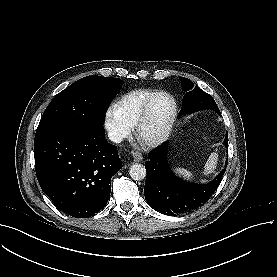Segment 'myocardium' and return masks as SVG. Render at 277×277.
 <instances>
[{"label":"myocardium","instance_id":"1","mask_svg":"<svg viewBox=\"0 0 277 277\" xmlns=\"http://www.w3.org/2000/svg\"><path fill=\"white\" fill-rule=\"evenodd\" d=\"M157 96H165L167 99H169L171 101V103H172L171 116H170L169 122H168L165 130L159 136H157L155 138L145 139L141 136V129H142L144 122L147 119L149 109H150L154 99ZM177 110H178L177 103L172 95H170L169 93L164 92V91H156V92L152 93L149 96L148 100L146 101L144 108L142 110V113L139 116V118L135 124L134 137H135L136 141L143 148H153V147H156V146L160 145L161 143H163L167 139V137L169 136V134L172 130V127L174 125V122H175V119L177 116Z\"/></svg>","mask_w":277,"mask_h":277}]
</instances>
